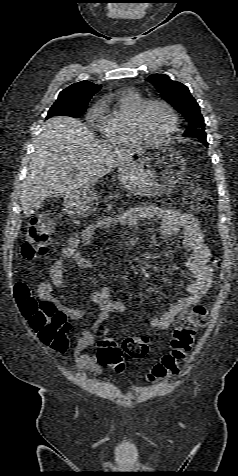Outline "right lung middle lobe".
I'll use <instances>...</instances> for the list:
<instances>
[{"instance_id":"dd1d6c3e","label":"right lung middle lobe","mask_w":238,"mask_h":476,"mask_svg":"<svg viewBox=\"0 0 238 476\" xmlns=\"http://www.w3.org/2000/svg\"><path fill=\"white\" fill-rule=\"evenodd\" d=\"M86 108L87 104L75 103L64 98L57 99L56 102L50 108L47 118L56 115L78 117L85 112Z\"/></svg>"}]
</instances>
